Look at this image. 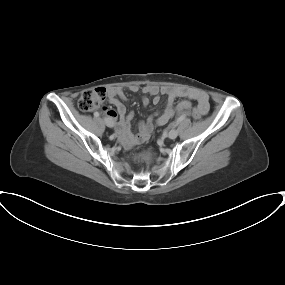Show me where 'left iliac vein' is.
Instances as JSON below:
<instances>
[{"label": "left iliac vein", "instance_id": "left-iliac-vein-1", "mask_svg": "<svg viewBox=\"0 0 285 285\" xmlns=\"http://www.w3.org/2000/svg\"><path fill=\"white\" fill-rule=\"evenodd\" d=\"M178 136V131L176 129H171L168 133L170 139H175Z\"/></svg>", "mask_w": 285, "mask_h": 285}]
</instances>
